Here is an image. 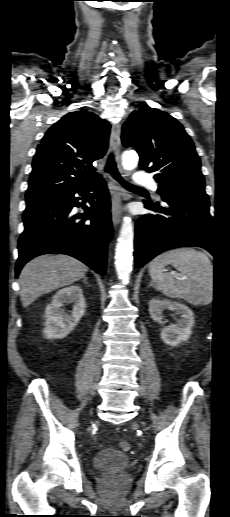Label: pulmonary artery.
<instances>
[{"mask_svg":"<svg viewBox=\"0 0 230 517\" xmlns=\"http://www.w3.org/2000/svg\"><path fill=\"white\" fill-rule=\"evenodd\" d=\"M134 182L139 185H148L152 188V190H157V184L153 177L150 174H146L143 171L139 170L134 175Z\"/></svg>","mask_w":230,"mask_h":517,"instance_id":"1","label":"pulmonary artery"}]
</instances>
